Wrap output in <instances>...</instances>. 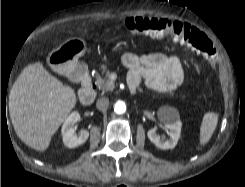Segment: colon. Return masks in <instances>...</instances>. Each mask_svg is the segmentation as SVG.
Instances as JSON below:
<instances>
[{
  "mask_svg": "<svg viewBox=\"0 0 245 187\" xmlns=\"http://www.w3.org/2000/svg\"><path fill=\"white\" fill-rule=\"evenodd\" d=\"M116 29H124L134 34H147L156 38H169L201 54L215 65V47L205 33L195 26L165 18L133 16L121 20Z\"/></svg>",
  "mask_w": 245,
  "mask_h": 187,
  "instance_id": "5ec220e1",
  "label": "colon"
}]
</instances>
